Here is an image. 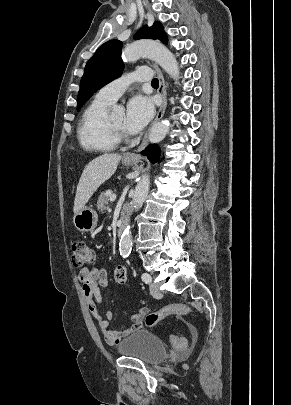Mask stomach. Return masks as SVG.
<instances>
[{
	"label": "stomach",
	"instance_id": "stomach-1",
	"mask_svg": "<svg viewBox=\"0 0 291 405\" xmlns=\"http://www.w3.org/2000/svg\"><path fill=\"white\" fill-rule=\"evenodd\" d=\"M133 160H123L124 165H131ZM98 221L97 212L90 207H83L73 217L75 227L82 232H90L96 228Z\"/></svg>",
	"mask_w": 291,
	"mask_h": 405
}]
</instances>
